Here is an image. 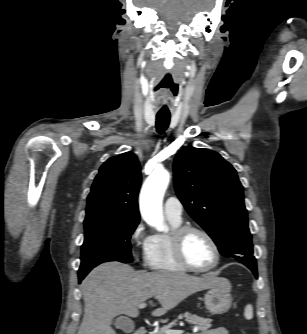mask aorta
Segmentation results:
<instances>
[{"instance_id":"1","label":"aorta","mask_w":307,"mask_h":334,"mask_svg":"<svg viewBox=\"0 0 307 334\" xmlns=\"http://www.w3.org/2000/svg\"><path fill=\"white\" fill-rule=\"evenodd\" d=\"M170 181V174L165 169H156L147 178L140 192V212L147 224L158 231L168 230L164 223L162 201Z\"/></svg>"}]
</instances>
